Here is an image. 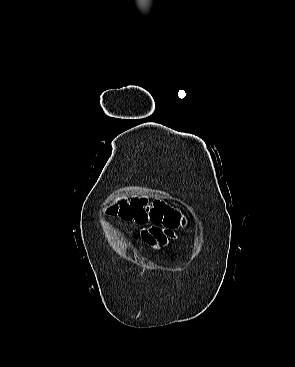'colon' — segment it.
Instances as JSON below:
<instances>
[{"mask_svg": "<svg viewBox=\"0 0 295 367\" xmlns=\"http://www.w3.org/2000/svg\"><path fill=\"white\" fill-rule=\"evenodd\" d=\"M164 214V208L159 204L156 205L150 212L146 211L143 208V201L138 202L137 207L128 212L129 217L133 218L137 223L148 221V219L151 221L166 219L172 223L179 224V216L177 214L171 213L167 215V217H164Z\"/></svg>", "mask_w": 295, "mask_h": 367, "instance_id": "obj_1", "label": "colon"}]
</instances>
